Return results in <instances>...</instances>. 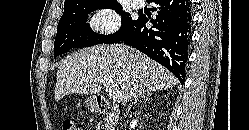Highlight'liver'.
<instances>
[{
  "instance_id": "1",
  "label": "liver",
  "mask_w": 249,
  "mask_h": 130,
  "mask_svg": "<svg viewBox=\"0 0 249 130\" xmlns=\"http://www.w3.org/2000/svg\"><path fill=\"white\" fill-rule=\"evenodd\" d=\"M119 84L124 103L146 92L172 88L177 78L143 53L122 44L98 45L66 57L57 71L55 100L99 93L101 80Z\"/></svg>"
}]
</instances>
